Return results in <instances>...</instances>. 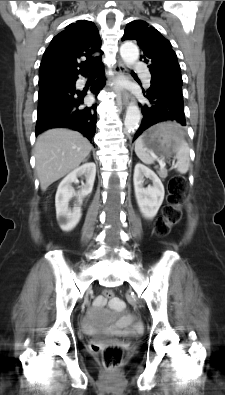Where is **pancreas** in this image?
<instances>
[{"label": "pancreas", "mask_w": 225, "mask_h": 395, "mask_svg": "<svg viewBox=\"0 0 225 395\" xmlns=\"http://www.w3.org/2000/svg\"><path fill=\"white\" fill-rule=\"evenodd\" d=\"M159 175H160L162 178H166V176H167V171H166V170L159 171Z\"/></svg>", "instance_id": "1"}]
</instances>
